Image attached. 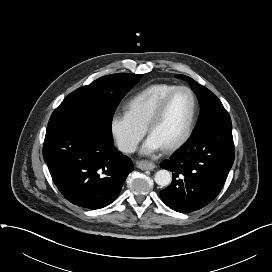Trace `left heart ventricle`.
I'll list each match as a JSON object with an SVG mask.
<instances>
[{
  "instance_id": "obj_1",
  "label": "left heart ventricle",
  "mask_w": 272,
  "mask_h": 272,
  "mask_svg": "<svg viewBox=\"0 0 272 272\" xmlns=\"http://www.w3.org/2000/svg\"><path fill=\"white\" fill-rule=\"evenodd\" d=\"M192 112V98L186 91L176 93L151 135L164 147L175 142L184 133Z\"/></svg>"
}]
</instances>
